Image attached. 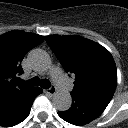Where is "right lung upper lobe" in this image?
I'll return each mask as SVG.
<instances>
[{
  "instance_id": "cb5924a9",
  "label": "right lung upper lobe",
  "mask_w": 128,
  "mask_h": 128,
  "mask_svg": "<svg viewBox=\"0 0 128 128\" xmlns=\"http://www.w3.org/2000/svg\"><path fill=\"white\" fill-rule=\"evenodd\" d=\"M44 36L15 30L0 36V111L12 100L33 87L18 82L23 74L21 61L25 54L44 41Z\"/></svg>"
}]
</instances>
